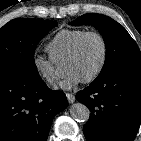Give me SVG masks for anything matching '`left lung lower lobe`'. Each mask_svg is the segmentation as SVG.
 Instances as JSON below:
<instances>
[{
	"label": "left lung lower lobe",
	"mask_w": 141,
	"mask_h": 141,
	"mask_svg": "<svg viewBox=\"0 0 141 141\" xmlns=\"http://www.w3.org/2000/svg\"><path fill=\"white\" fill-rule=\"evenodd\" d=\"M91 111L87 141H133L141 123V71H123L95 80L76 94Z\"/></svg>",
	"instance_id": "left-lung-lower-lobe-1"
}]
</instances>
